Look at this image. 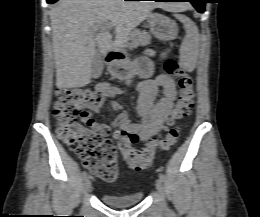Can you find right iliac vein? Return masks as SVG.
<instances>
[{"instance_id": "obj_1", "label": "right iliac vein", "mask_w": 260, "mask_h": 217, "mask_svg": "<svg viewBox=\"0 0 260 217\" xmlns=\"http://www.w3.org/2000/svg\"><path fill=\"white\" fill-rule=\"evenodd\" d=\"M84 191L88 192L91 189V180L89 177H86L83 183Z\"/></svg>"}]
</instances>
